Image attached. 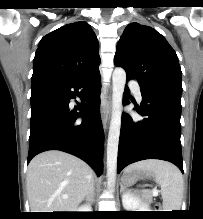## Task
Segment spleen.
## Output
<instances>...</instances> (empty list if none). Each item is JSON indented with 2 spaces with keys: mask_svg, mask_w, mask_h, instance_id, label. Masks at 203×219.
I'll return each mask as SVG.
<instances>
[{
  "mask_svg": "<svg viewBox=\"0 0 203 219\" xmlns=\"http://www.w3.org/2000/svg\"><path fill=\"white\" fill-rule=\"evenodd\" d=\"M132 170H146L155 176L161 187L164 211L180 210L184 185L182 174L176 166L163 160L149 159L131 164L125 172Z\"/></svg>",
  "mask_w": 203,
  "mask_h": 219,
  "instance_id": "3e777b00",
  "label": "spleen"
}]
</instances>
